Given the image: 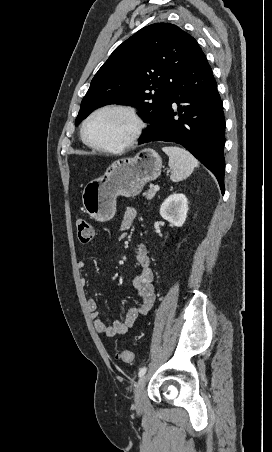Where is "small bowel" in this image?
I'll use <instances>...</instances> for the list:
<instances>
[{"label":"small bowel","instance_id":"small-bowel-1","mask_svg":"<svg viewBox=\"0 0 272 452\" xmlns=\"http://www.w3.org/2000/svg\"><path fill=\"white\" fill-rule=\"evenodd\" d=\"M136 216L137 211L134 208H128L121 221L120 231H128L135 221ZM136 262L140 267V271L133 278V286L141 298V303L130 308L123 320H117L111 324L106 323L97 309V302L94 299H88L87 308L91 313L94 328L97 333L103 334L107 337L125 335L130 331V329L133 328L139 317L148 314L152 309L155 301L156 290L153 285L154 272L150 266V259L146 245L139 244L137 246ZM87 266V262L84 260H80L77 263L79 270H84ZM80 283L82 286H86L88 284L87 278L82 277L80 279Z\"/></svg>","mask_w":272,"mask_h":452}]
</instances>
